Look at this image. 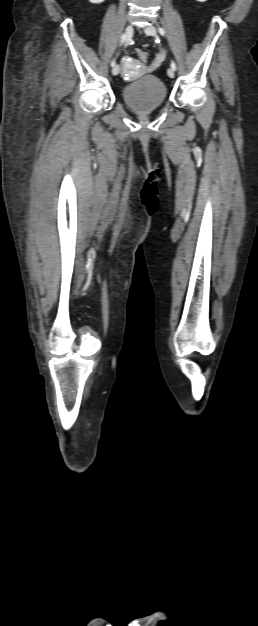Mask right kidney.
<instances>
[{
    "mask_svg": "<svg viewBox=\"0 0 258 626\" xmlns=\"http://www.w3.org/2000/svg\"><path fill=\"white\" fill-rule=\"evenodd\" d=\"M89 1L94 4H99V3L104 2L105 0H89Z\"/></svg>",
    "mask_w": 258,
    "mask_h": 626,
    "instance_id": "obj_1",
    "label": "right kidney"
}]
</instances>
